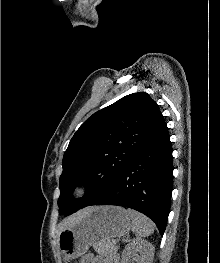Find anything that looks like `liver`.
I'll return each mask as SVG.
<instances>
[{"label":"liver","instance_id":"liver-1","mask_svg":"<svg viewBox=\"0 0 220 263\" xmlns=\"http://www.w3.org/2000/svg\"><path fill=\"white\" fill-rule=\"evenodd\" d=\"M91 208H87L84 210H81L79 212H77L76 214L66 218L65 220H63L60 224H59V232H58V236L60 234V232L62 230H64L65 228H67L68 226L72 225L73 223H75L76 221H78L84 214H86Z\"/></svg>","mask_w":220,"mask_h":263}]
</instances>
